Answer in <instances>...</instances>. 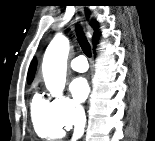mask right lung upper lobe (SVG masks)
I'll list each match as a JSON object with an SVG mask.
<instances>
[{
    "label": "right lung upper lobe",
    "mask_w": 155,
    "mask_h": 141,
    "mask_svg": "<svg viewBox=\"0 0 155 141\" xmlns=\"http://www.w3.org/2000/svg\"><path fill=\"white\" fill-rule=\"evenodd\" d=\"M90 12L88 10H86V16L89 17ZM90 25L94 28H96V23L95 22H91ZM96 36H94L93 40H96ZM36 71V61L35 59L32 61V63L30 64L29 70H28V75H27V83H31L33 78H34V74Z\"/></svg>",
    "instance_id": "right-lung-upper-lobe-1"
}]
</instances>
